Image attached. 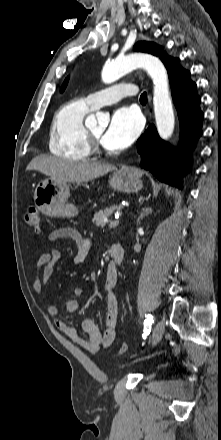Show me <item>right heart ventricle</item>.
Segmentation results:
<instances>
[{
  "mask_svg": "<svg viewBox=\"0 0 221 440\" xmlns=\"http://www.w3.org/2000/svg\"><path fill=\"white\" fill-rule=\"evenodd\" d=\"M92 110L85 99L77 98L66 102L56 111L49 134L52 154L72 160H84L90 156L84 119Z\"/></svg>",
  "mask_w": 221,
  "mask_h": 440,
  "instance_id": "e07e8e85",
  "label": "right heart ventricle"
}]
</instances>
